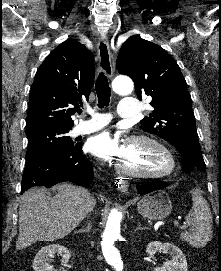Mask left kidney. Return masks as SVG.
I'll use <instances>...</instances> for the list:
<instances>
[{
	"mask_svg": "<svg viewBox=\"0 0 221 271\" xmlns=\"http://www.w3.org/2000/svg\"><path fill=\"white\" fill-rule=\"evenodd\" d=\"M156 251L169 253L171 259L164 261L161 267L156 265L153 271H187L188 263L186 255L174 243H168V241L166 243H162V241H150L146 247V253H148L149 257H154Z\"/></svg>",
	"mask_w": 221,
	"mask_h": 271,
	"instance_id": "obj_1",
	"label": "left kidney"
}]
</instances>
